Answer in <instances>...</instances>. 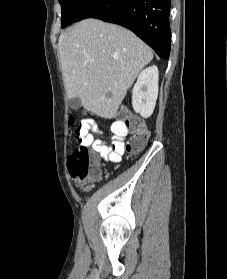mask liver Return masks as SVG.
Masks as SVG:
<instances>
[{"label":"liver","mask_w":227,"mask_h":279,"mask_svg":"<svg viewBox=\"0 0 227 279\" xmlns=\"http://www.w3.org/2000/svg\"><path fill=\"white\" fill-rule=\"evenodd\" d=\"M65 90L88 111L116 117L127 90L153 58L133 32L98 19H85L58 40Z\"/></svg>","instance_id":"1"}]
</instances>
